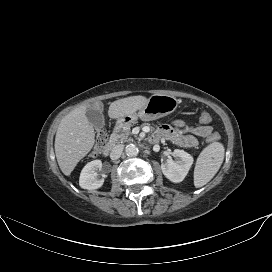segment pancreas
I'll list each match as a JSON object with an SVG mask.
<instances>
[{
	"label": "pancreas",
	"instance_id": "obj_1",
	"mask_svg": "<svg viewBox=\"0 0 272 272\" xmlns=\"http://www.w3.org/2000/svg\"><path fill=\"white\" fill-rule=\"evenodd\" d=\"M131 124L124 125L123 127L119 128L118 130H115L112 134V139L116 142H125L130 135H132L131 132Z\"/></svg>",
	"mask_w": 272,
	"mask_h": 272
}]
</instances>
